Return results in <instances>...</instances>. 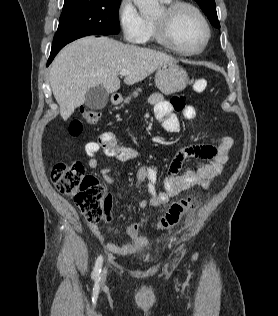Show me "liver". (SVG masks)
Masks as SVG:
<instances>
[{"mask_svg":"<svg viewBox=\"0 0 278 316\" xmlns=\"http://www.w3.org/2000/svg\"><path fill=\"white\" fill-rule=\"evenodd\" d=\"M168 62L175 59L104 36H87L70 43L60 51L50 68V85L61 117L66 121L84 104L87 91L97 85H102L108 93L118 91L121 70L129 71L124 83L133 85Z\"/></svg>","mask_w":278,"mask_h":316,"instance_id":"1","label":"liver"}]
</instances>
